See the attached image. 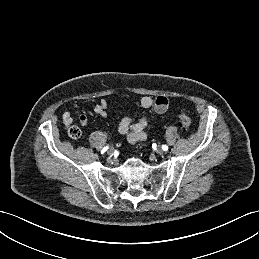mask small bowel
<instances>
[{"mask_svg": "<svg viewBox=\"0 0 259 259\" xmlns=\"http://www.w3.org/2000/svg\"><path fill=\"white\" fill-rule=\"evenodd\" d=\"M144 110L154 109L157 114H163L168 109V99L165 96H157L155 98L145 96L141 98L138 104ZM108 103L102 99L94 108L96 114L101 117L107 116ZM82 125L88 124V117L82 114L79 117ZM62 121L65 125H70L73 118L69 111H65L62 115ZM150 125V116L148 113H143L141 117L134 121L133 117L125 116L118 125V131L124 135L126 140L135 144L144 141L147 138V129Z\"/></svg>", "mask_w": 259, "mask_h": 259, "instance_id": "c3829d8e", "label": "small bowel"}]
</instances>
